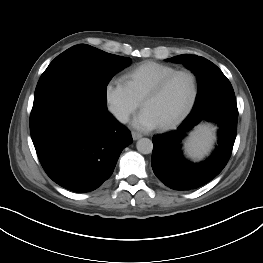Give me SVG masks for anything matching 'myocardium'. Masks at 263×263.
<instances>
[{
  "label": "myocardium",
  "instance_id": "f54148a6",
  "mask_svg": "<svg viewBox=\"0 0 263 263\" xmlns=\"http://www.w3.org/2000/svg\"><path fill=\"white\" fill-rule=\"evenodd\" d=\"M179 75H187L190 77L191 81H192V87H193V91H192V96L191 99L187 105V107L183 110V112L177 116L174 120L163 124V125H159V128L161 130H169L172 129L174 127H176L177 125H179L193 110L198 96H199V82H198V78L195 75L194 72H192L189 69H181V70H175L174 72L164 76L162 79H160L142 98L141 100V106L143 107L144 104L148 101L151 100L155 97H157L158 95L161 94V92L165 89V87L169 84V82L175 78L176 76Z\"/></svg>",
  "mask_w": 263,
  "mask_h": 263
}]
</instances>
